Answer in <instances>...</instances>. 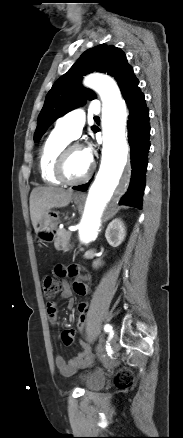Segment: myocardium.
Returning <instances> with one entry per match:
<instances>
[{"label":"myocardium","instance_id":"f54148a6","mask_svg":"<svg viewBox=\"0 0 183 438\" xmlns=\"http://www.w3.org/2000/svg\"><path fill=\"white\" fill-rule=\"evenodd\" d=\"M75 149H83V147L78 143L67 144L60 151V153L58 154V156L56 158L53 173H54V176L56 177V179L61 184L68 185V186L80 185V184L87 182L93 174L95 166H94L93 161H90L89 169L82 178H80L78 180H70L66 177V175H65L66 161H67V158L70 155V153Z\"/></svg>","mask_w":183,"mask_h":438}]
</instances>
